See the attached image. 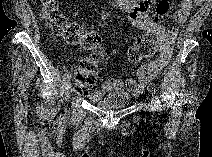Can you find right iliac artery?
<instances>
[{
	"label": "right iliac artery",
	"mask_w": 212,
	"mask_h": 157,
	"mask_svg": "<svg viewBox=\"0 0 212 157\" xmlns=\"http://www.w3.org/2000/svg\"><path fill=\"white\" fill-rule=\"evenodd\" d=\"M70 78H71L70 73L69 72L65 73V75H64V81L65 80H69Z\"/></svg>",
	"instance_id": "1"
}]
</instances>
